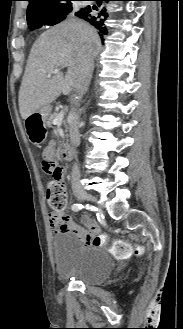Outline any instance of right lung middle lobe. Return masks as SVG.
Wrapping results in <instances>:
<instances>
[{"label": "right lung middle lobe", "instance_id": "1", "mask_svg": "<svg viewBox=\"0 0 183 329\" xmlns=\"http://www.w3.org/2000/svg\"><path fill=\"white\" fill-rule=\"evenodd\" d=\"M71 11H72V3L71 1H69L66 4L59 6L56 9V14L51 19L44 22H32L31 24H28V26L31 29H38L45 25H55L61 22L62 20H64L67 17L68 13H70Z\"/></svg>", "mask_w": 183, "mask_h": 329}]
</instances>
